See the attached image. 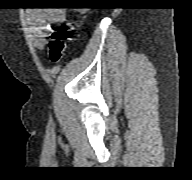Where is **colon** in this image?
<instances>
[{
    "instance_id": "1",
    "label": "colon",
    "mask_w": 192,
    "mask_h": 180,
    "mask_svg": "<svg viewBox=\"0 0 192 180\" xmlns=\"http://www.w3.org/2000/svg\"><path fill=\"white\" fill-rule=\"evenodd\" d=\"M71 32L68 27H62L55 30L50 37L48 44V55L52 63L56 64L64 56L66 42L70 40Z\"/></svg>"
}]
</instances>
